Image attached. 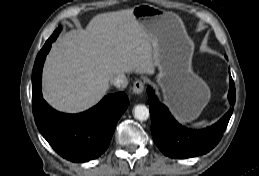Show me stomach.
<instances>
[{
  "mask_svg": "<svg viewBox=\"0 0 259 176\" xmlns=\"http://www.w3.org/2000/svg\"><path fill=\"white\" fill-rule=\"evenodd\" d=\"M133 15L155 47L157 83L165 103L179 121L196 119L210 99V90L192 71L194 45L180 19L149 4L135 6Z\"/></svg>",
  "mask_w": 259,
  "mask_h": 176,
  "instance_id": "0dacf381",
  "label": "stomach"
}]
</instances>
